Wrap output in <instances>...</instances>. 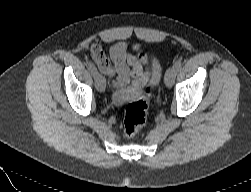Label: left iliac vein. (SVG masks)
<instances>
[{"mask_svg": "<svg viewBox=\"0 0 251 192\" xmlns=\"http://www.w3.org/2000/svg\"><path fill=\"white\" fill-rule=\"evenodd\" d=\"M176 77V70L174 68H169L165 74V84L167 87H172Z\"/></svg>", "mask_w": 251, "mask_h": 192, "instance_id": "1", "label": "left iliac vein"}]
</instances>
